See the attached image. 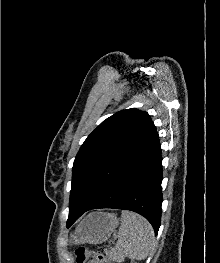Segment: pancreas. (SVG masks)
Returning <instances> with one entry per match:
<instances>
[{"mask_svg":"<svg viewBox=\"0 0 220 263\" xmlns=\"http://www.w3.org/2000/svg\"><path fill=\"white\" fill-rule=\"evenodd\" d=\"M106 255L111 258L112 260H119L120 258L117 257V253L113 252H109L108 250H105Z\"/></svg>","mask_w":220,"mask_h":263,"instance_id":"1","label":"pancreas"}]
</instances>
